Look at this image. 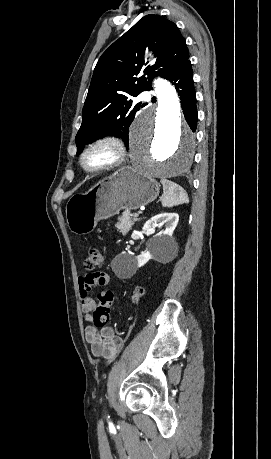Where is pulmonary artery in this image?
Listing matches in <instances>:
<instances>
[{
	"label": "pulmonary artery",
	"mask_w": 271,
	"mask_h": 459,
	"mask_svg": "<svg viewBox=\"0 0 271 459\" xmlns=\"http://www.w3.org/2000/svg\"><path fill=\"white\" fill-rule=\"evenodd\" d=\"M151 97V92L149 90H144L142 92V96L140 97V102L145 105H149L151 103V100L149 99Z\"/></svg>",
	"instance_id": "1"
}]
</instances>
